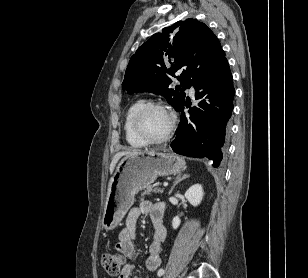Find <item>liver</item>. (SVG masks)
I'll use <instances>...</instances> for the list:
<instances>
[{
  "instance_id": "6515ba94",
  "label": "liver",
  "mask_w": 308,
  "mask_h": 278,
  "mask_svg": "<svg viewBox=\"0 0 308 278\" xmlns=\"http://www.w3.org/2000/svg\"><path fill=\"white\" fill-rule=\"evenodd\" d=\"M142 153L139 150H132V151H122V152H118L115 154V156L113 157V160L110 164V173L112 174L114 171V168L118 162V160L122 157V156H126V155H133V154H139Z\"/></svg>"
}]
</instances>
